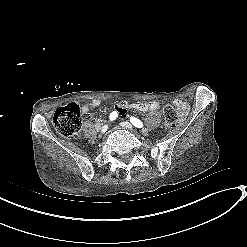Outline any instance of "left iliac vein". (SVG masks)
I'll list each match as a JSON object with an SVG mask.
<instances>
[{
  "label": "left iliac vein",
  "mask_w": 247,
  "mask_h": 247,
  "mask_svg": "<svg viewBox=\"0 0 247 247\" xmlns=\"http://www.w3.org/2000/svg\"><path fill=\"white\" fill-rule=\"evenodd\" d=\"M120 125L122 127L127 128V129H132L133 128V126L129 122H121Z\"/></svg>",
  "instance_id": "4c4485c4"
}]
</instances>
